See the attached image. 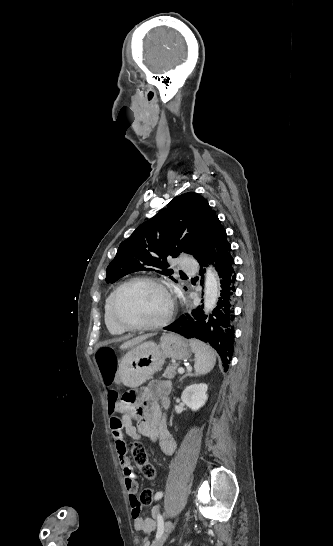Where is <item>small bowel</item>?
Here are the masks:
<instances>
[{"label":"small bowel","mask_w":333,"mask_h":546,"mask_svg":"<svg viewBox=\"0 0 333 546\" xmlns=\"http://www.w3.org/2000/svg\"><path fill=\"white\" fill-rule=\"evenodd\" d=\"M114 385H121L122 375L116 371ZM171 383L165 380L151 382L137 392V402L134 406H126L117 402H110V430L115 443L116 454L120 467L124 474L125 487L129 495L133 526L136 531L146 534L154 532L158 527V519L162 517V507L156 504L149 517L141 516V505L138 502V478L130 465L127 456V446L124 440V432L134 440L149 439L156 444L165 455H172L176 449V441L170 435L164 425V411L169 405V393ZM120 413V416L115 415ZM132 420L136 421L133 425ZM156 475L149 478L156 481ZM163 493L156 494V501L162 499Z\"/></svg>","instance_id":"small-bowel-1"}]
</instances>
